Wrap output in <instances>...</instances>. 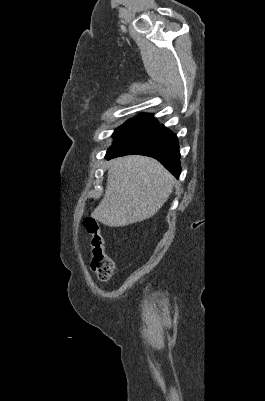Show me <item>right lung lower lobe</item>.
<instances>
[{
    "label": "right lung lower lobe",
    "instance_id": "1",
    "mask_svg": "<svg viewBox=\"0 0 265 401\" xmlns=\"http://www.w3.org/2000/svg\"><path fill=\"white\" fill-rule=\"evenodd\" d=\"M140 154L153 157L176 178L181 173L179 143L172 131L150 118L115 138L106 159Z\"/></svg>",
    "mask_w": 265,
    "mask_h": 401
}]
</instances>
